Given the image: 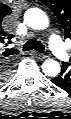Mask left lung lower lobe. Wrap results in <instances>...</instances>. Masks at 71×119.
<instances>
[{
    "label": "left lung lower lobe",
    "instance_id": "0a47b994",
    "mask_svg": "<svg viewBox=\"0 0 71 119\" xmlns=\"http://www.w3.org/2000/svg\"><path fill=\"white\" fill-rule=\"evenodd\" d=\"M69 63L64 62L60 75L51 81L62 89L69 90L71 88V71H69Z\"/></svg>",
    "mask_w": 71,
    "mask_h": 119
}]
</instances>
